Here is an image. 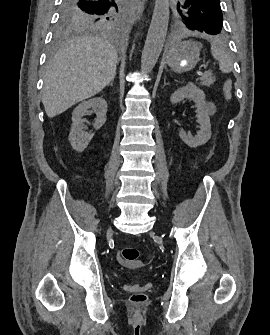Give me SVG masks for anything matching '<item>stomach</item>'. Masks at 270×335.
<instances>
[{"mask_svg": "<svg viewBox=\"0 0 270 335\" xmlns=\"http://www.w3.org/2000/svg\"><path fill=\"white\" fill-rule=\"evenodd\" d=\"M201 48L199 42H191V40L177 42L166 50V62L171 70L177 74L189 72L199 62Z\"/></svg>", "mask_w": 270, "mask_h": 335, "instance_id": "obj_1", "label": "stomach"}]
</instances>
